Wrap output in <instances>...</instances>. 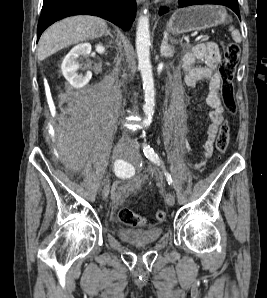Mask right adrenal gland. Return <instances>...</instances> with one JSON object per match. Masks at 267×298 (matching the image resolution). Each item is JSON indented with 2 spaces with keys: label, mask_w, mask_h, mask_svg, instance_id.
Segmentation results:
<instances>
[{
  "label": "right adrenal gland",
  "mask_w": 267,
  "mask_h": 298,
  "mask_svg": "<svg viewBox=\"0 0 267 298\" xmlns=\"http://www.w3.org/2000/svg\"><path fill=\"white\" fill-rule=\"evenodd\" d=\"M104 35L105 36H108L109 35L111 38H114L113 35L110 33V30H107Z\"/></svg>",
  "instance_id": "2a0ac1e0"
}]
</instances>
